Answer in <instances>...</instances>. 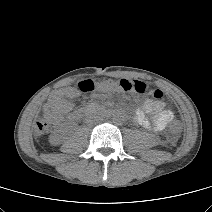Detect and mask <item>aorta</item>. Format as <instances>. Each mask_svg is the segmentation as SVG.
Masks as SVG:
<instances>
[{
    "mask_svg": "<svg viewBox=\"0 0 212 212\" xmlns=\"http://www.w3.org/2000/svg\"><path fill=\"white\" fill-rule=\"evenodd\" d=\"M113 120L117 123L121 122L123 120V116L120 112H116L114 115H113Z\"/></svg>",
    "mask_w": 212,
    "mask_h": 212,
    "instance_id": "obj_1",
    "label": "aorta"
}]
</instances>
